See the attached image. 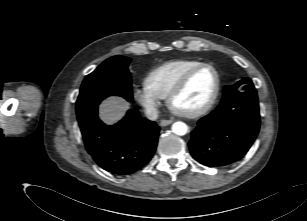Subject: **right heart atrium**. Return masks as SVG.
<instances>
[{"mask_svg": "<svg viewBox=\"0 0 307 221\" xmlns=\"http://www.w3.org/2000/svg\"><path fill=\"white\" fill-rule=\"evenodd\" d=\"M135 101L144 109L149 116L157 114L160 105L159 98L151 94L145 87L135 88L133 91Z\"/></svg>", "mask_w": 307, "mask_h": 221, "instance_id": "d8ad5b80", "label": "right heart atrium"}]
</instances>
